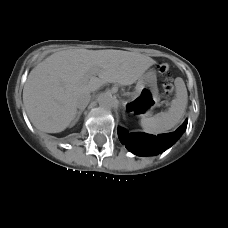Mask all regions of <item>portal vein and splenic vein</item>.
I'll return each instance as SVG.
<instances>
[{
    "label": "portal vein and splenic vein",
    "mask_w": 228,
    "mask_h": 228,
    "mask_svg": "<svg viewBox=\"0 0 228 228\" xmlns=\"http://www.w3.org/2000/svg\"><path fill=\"white\" fill-rule=\"evenodd\" d=\"M92 75H93V73L88 74V75L86 76V79H91V80L95 79V77L92 76Z\"/></svg>",
    "instance_id": "obj_1"
}]
</instances>
